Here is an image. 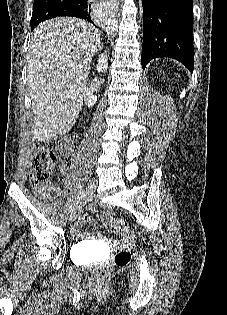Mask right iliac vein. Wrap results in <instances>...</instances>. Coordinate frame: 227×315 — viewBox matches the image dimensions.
<instances>
[{
  "label": "right iliac vein",
  "mask_w": 227,
  "mask_h": 315,
  "mask_svg": "<svg viewBox=\"0 0 227 315\" xmlns=\"http://www.w3.org/2000/svg\"><path fill=\"white\" fill-rule=\"evenodd\" d=\"M96 186H97V181L95 179H90L86 187L85 196H87V198H90L93 195L96 189ZM82 205H83V202L81 201L79 206H77L76 210L70 215V218H69L70 221H74L79 216L82 210Z\"/></svg>",
  "instance_id": "1"
}]
</instances>
